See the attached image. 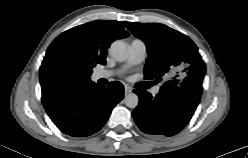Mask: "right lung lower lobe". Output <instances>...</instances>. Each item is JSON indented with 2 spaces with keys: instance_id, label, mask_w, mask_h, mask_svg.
<instances>
[{
  "instance_id": "98d812e1",
  "label": "right lung lower lobe",
  "mask_w": 248,
  "mask_h": 158,
  "mask_svg": "<svg viewBox=\"0 0 248 158\" xmlns=\"http://www.w3.org/2000/svg\"><path fill=\"white\" fill-rule=\"evenodd\" d=\"M124 94L120 82L102 87L90 82L82 87L63 89L42 97V102L54 124L65 134L84 137L99 131L113 107Z\"/></svg>"
}]
</instances>
